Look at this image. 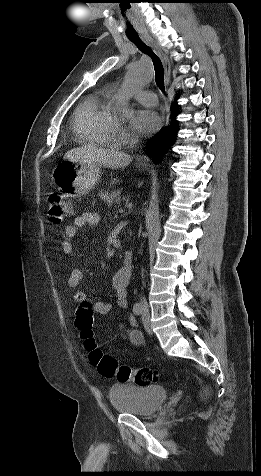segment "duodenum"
<instances>
[{
    "instance_id": "1",
    "label": "duodenum",
    "mask_w": 261,
    "mask_h": 476,
    "mask_svg": "<svg viewBox=\"0 0 261 476\" xmlns=\"http://www.w3.org/2000/svg\"><path fill=\"white\" fill-rule=\"evenodd\" d=\"M133 267V253L131 251H126L123 258V269L127 275L130 276Z\"/></svg>"
}]
</instances>
